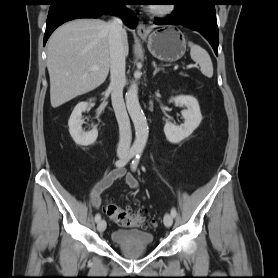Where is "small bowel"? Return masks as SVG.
<instances>
[{
  "instance_id": "small-bowel-1",
  "label": "small bowel",
  "mask_w": 278,
  "mask_h": 278,
  "mask_svg": "<svg viewBox=\"0 0 278 278\" xmlns=\"http://www.w3.org/2000/svg\"><path fill=\"white\" fill-rule=\"evenodd\" d=\"M120 180H123L131 189L135 190L139 187V182L134 175L127 172L123 167H117L105 174L92 187L89 195L92 205L95 208H99L101 205V194L110 188L115 182Z\"/></svg>"
}]
</instances>
